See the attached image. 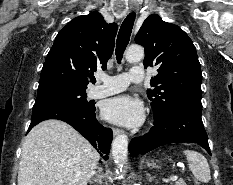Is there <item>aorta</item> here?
<instances>
[{
    "label": "aorta",
    "instance_id": "aorta-1",
    "mask_svg": "<svg viewBox=\"0 0 233 185\" xmlns=\"http://www.w3.org/2000/svg\"><path fill=\"white\" fill-rule=\"evenodd\" d=\"M126 60L130 63L139 62L144 58V49L141 46H130L125 54ZM128 138L125 134H119L112 142V156L119 168L127 165Z\"/></svg>",
    "mask_w": 233,
    "mask_h": 185
}]
</instances>
